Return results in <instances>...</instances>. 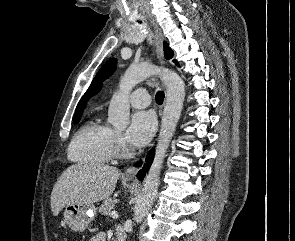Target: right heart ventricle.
I'll return each mask as SVG.
<instances>
[{
    "label": "right heart ventricle",
    "instance_id": "obj_1",
    "mask_svg": "<svg viewBox=\"0 0 295 241\" xmlns=\"http://www.w3.org/2000/svg\"><path fill=\"white\" fill-rule=\"evenodd\" d=\"M115 131L99 119L86 122L75 134L68 156L84 165H101L113 157Z\"/></svg>",
    "mask_w": 295,
    "mask_h": 241
}]
</instances>
